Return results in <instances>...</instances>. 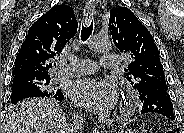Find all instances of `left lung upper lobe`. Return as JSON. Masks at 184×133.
Masks as SVG:
<instances>
[{
  "label": "left lung upper lobe",
  "instance_id": "left-lung-upper-lobe-1",
  "mask_svg": "<svg viewBox=\"0 0 184 133\" xmlns=\"http://www.w3.org/2000/svg\"><path fill=\"white\" fill-rule=\"evenodd\" d=\"M109 28L117 48L132 57L125 71L140 100L143 101L148 93L156 89L168 91L158 48L150 32L134 13L126 7L112 9ZM155 99L160 100L162 96L157 95Z\"/></svg>",
  "mask_w": 184,
  "mask_h": 133
}]
</instances>
